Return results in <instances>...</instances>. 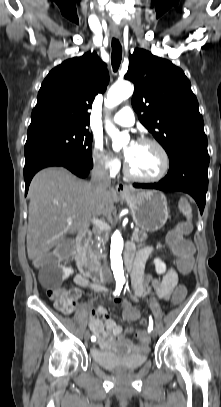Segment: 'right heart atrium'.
Segmentation results:
<instances>
[{
  "mask_svg": "<svg viewBox=\"0 0 221 407\" xmlns=\"http://www.w3.org/2000/svg\"><path fill=\"white\" fill-rule=\"evenodd\" d=\"M92 159L94 166L102 172L114 174L120 167L119 160L110 156L100 141L94 143Z\"/></svg>",
  "mask_w": 221,
  "mask_h": 407,
  "instance_id": "d8ad5b80",
  "label": "right heart atrium"
}]
</instances>
